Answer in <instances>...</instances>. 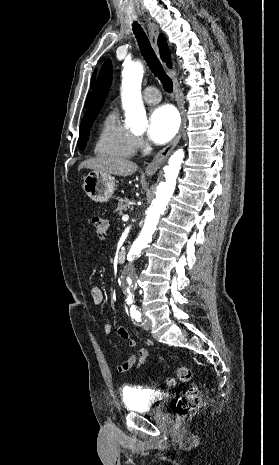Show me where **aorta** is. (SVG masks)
I'll return each instance as SVG.
<instances>
[{"label":"aorta","instance_id":"obj_1","mask_svg":"<svg viewBox=\"0 0 279 465\" xmlns=\"http://www.w3.org/2000/svg\"><path fill=\"white\" fill-rule=\"evenodd\" d=\"M143 73V65L139 62L125 64L122 72V105L128 124L136 130H144L146 126V112L141 97ZM183 158L184 151L179 149L164 167L165 182H161L157 188L156 198L147 211L145 224L129 251L127 257L129 262H132L151 241L159 218L166 210L175 190ZM122 284L130 297L134 286V277L130 271L123 277Z\"/></svg>","mask_w":279,"mask_h":465}]
</instances>
